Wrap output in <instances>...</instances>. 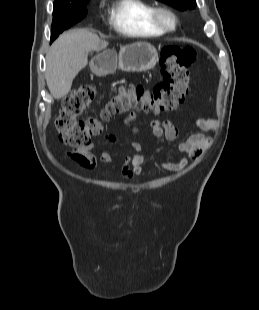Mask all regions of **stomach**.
I'll use <instances>...</instances> for the list:
<instances>
[{
    "mask_svg": "<svg viewBox=\"0 0 259 310\" xmlns=\"http://www.w3.org/2000/svg\"><path fill=\"white\" fill-rule=\"evenodd\" d=\"M158 59L153 45L136 42L122 47L118 56L113 50L98 53L90 62V68L99 76L114 73L117 68L125 72H142L153 69Z\"/></svg>",
    "mask_w": 259,
    "mask_h": 310,
    "instance_id": "stomach-1",
    "label": "stomach"
}]
</instances>
